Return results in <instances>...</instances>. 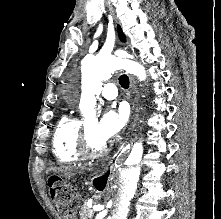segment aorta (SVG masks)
Masks as SVG:
<instances>
[{
	"mask_svg": "<svg viewBox=\"0 0 221 219\" xmlns=\"http://www.w3.org/2000/svg\"><path fill=\"white\" fill-rule=\"evenodd\" d=\"M120 57H129L126 52H117ZM119 60L113 55L99 54L94 57H86L82 61V72L91 82V88L87 96L80 101V109L85 117L95 115V95L102 89V81L111 77L118 68ZM143 162V149L136 147L131 154L119 162L113 181L112 201L114 213L112 219H127L130 202L137 190Z\"/></svg>",
	"mask_w": 221,
	"mask_h": 219,
	"instance_id": "obj_1",
	"label": "aorta"
}]
</instances>
